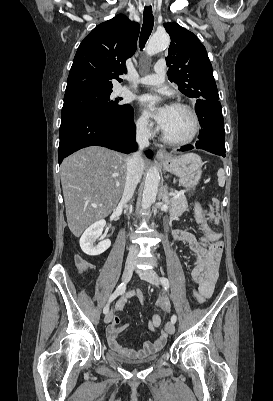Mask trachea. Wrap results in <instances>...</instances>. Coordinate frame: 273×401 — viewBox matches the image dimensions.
<instances>
[{"label": "trachea", "mask_w": 273, "mask_h": 401, "mask_svg": "<svg viewBox=\"0 0 273 401\" xmlns=\"http://www.w3.org/2000/svg\"><path fill=\"white\" fill-rule=\"evenodd\" d=\"M143 15H144V19H143V25H142L140 39H139L140 49L144 48L148 38L150 37L152 29H153L154 17L152 14V7L145 6Z\"/></svg>", "instance_id": "obj_1"}]
</instances>
